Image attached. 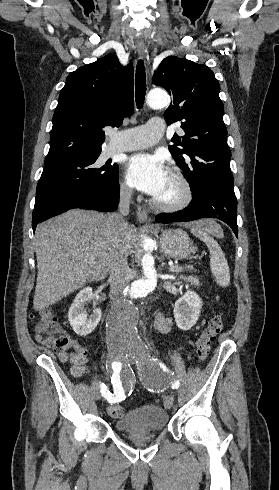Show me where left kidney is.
<instances>
[{"instance_id": "left-kidney-1", "label": "left kidney", "mask_w": 279, "mask_h": 490, "mask_svg": "<svg viewBox=\"0 0 279 490\" xmlns=\"http://www.w3.org/2000/svg\"><path fill=\"white\" fill-rule=\"evenodd\" d=\"M202 306L203 302L198 294L192 290H187L184 296L176 300L174 304L173 314L176 326L184 332L191 330L199 320Z\"/></svg>"}]
</instances>
